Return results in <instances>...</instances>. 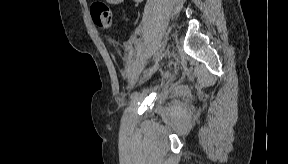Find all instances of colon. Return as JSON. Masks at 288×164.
<instances>
[{"label": "colon", "mask_w": 288, "mask_h": 164, "mask_svg": "<svg viewBox=\"0 0 288 164\" xmlns=\"http://www.w3.org/2000/svg\"><path fill=\"white\" fill-rule=\"evenodd\" d=\"M94 23L101 29H110L113 25V13L110 7L104 3H96L92 6Z\"/></svg>", "instance_id": "1"}]
</instances>
